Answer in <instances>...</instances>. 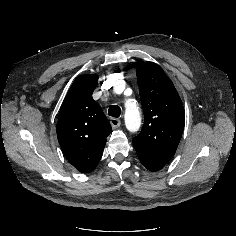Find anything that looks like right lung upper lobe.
Wrapping results in <instances>:
<instances>
[{"instance_id": "cb5924a9", "label": "right lung upper lobe", "mask_w": 236, "mask_h": 236, "mask_svg": "<svg viewBox=\"0 0 236 236\" xmlns=\"http://www.w3.org/2000/svg\"><path fill=\"white\" fill-rule=\"evenodd\" d=\"M97 75H83L71 85L57 122V138L67 160L89 173L100 161L111 125L92 98Z\"/></svg>"}]
</instances>
